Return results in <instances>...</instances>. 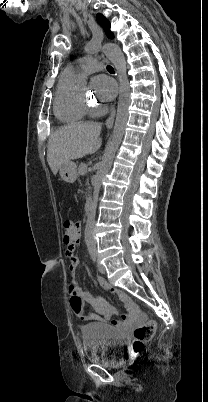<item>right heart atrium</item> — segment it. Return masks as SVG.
Instances as JSON below:
<instances>
[{
    "label": "right heart atrium",
    "instance_id": "obj_1",
    "mask_svg": "<svg viewBox=\"0 0 208 402\" xmlns=\"http://www.w3.org/2000/svg\"><path fill=\"white\" fill-rule=\"evenodd\" d=\"M97 112H98L97 110H92L93 115L97 114Z\"/></svg>",
    "mask_w": 208,
    "mask_h": 402
}]
</instances>
